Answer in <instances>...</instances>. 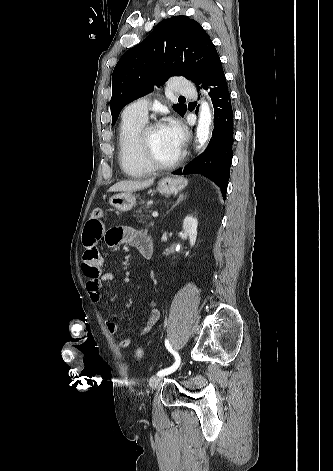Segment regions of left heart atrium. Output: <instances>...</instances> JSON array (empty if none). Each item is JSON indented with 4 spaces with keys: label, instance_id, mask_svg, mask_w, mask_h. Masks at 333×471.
Segmentation results:
<instances>
[{
    "label": "left heart atrium",
    "instance_id": "39dd6f15",
    "mask_svg": "<svg viewBox=\"0 0 333 471\" xmlns=\"http://www.w3.org/2000/svg\"><path fill=\"white\" fill-rule=\"evenodd\" d=\"M164 128L171 143L177 149H180L183 143V132L180 126L176 122L170 121L164 126Z\"/></svg>",
    "mask_w": 333,
    "mask_h": 471
}]
</instances>
